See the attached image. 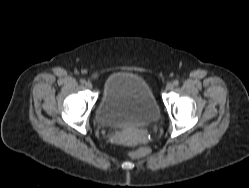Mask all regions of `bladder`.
<instances>
[{
    "instance_id": "1",
    "label": "bladder",
    "mask_w": 249,
    "mask_h": 188,
    "mask_svg": "<svg viewBox=\"0 0 249 188\" xmlns=\"http://www.w3.org/2000/svg\"><path fill=\"white\" fill-rule=\"evenodd\" d=\"M96 117L108 128L144 126L158 121L160 109L146 80L133 73L115 72L104 82Z\"/></svg>"
}]
</instances>
